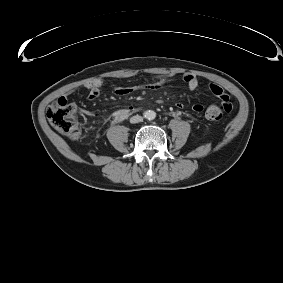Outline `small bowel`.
I'll use <instances>...</instances> for the list:
<instances>
[{"label": "small bowel", "mask_w": 283, "mask_h": 283, "mask_svg": "<svg viewBox=\"0 0 283 283\" xmlns=\"http://www.w3.org/2000/svg\"><path fill=\"white\" fill-rule=\"evenodd\" d=\"M174 76H162L157 79V81L143 86H117L114 87L113 91L118 96H130L138 91H158L165 89L169 86ZM183 81L186 84L189 90H195L199 81L194 74L186 73L183 75ZM104 82L102 79L97 78L94 79L87 84L84 85V88L88 91V98L90 100L97 99L102 95ZM210 91L214 94L220 101L223 107H227V103L231 104L229 96L225 93V91L218 85L212 84L210 85ZM177 110H181L183 108L182 103H176ZM232 108V104H231ZM126 112L135 111V107L128 106L124 109ZM204 110V106L202 104H195L193 106V111L196 113H201ZM94 116H100L99 114H92ZM121 113L118 112L117 116H120Z\"/></svg>", "instance_id": "c3829d8e"}]
</instances>
